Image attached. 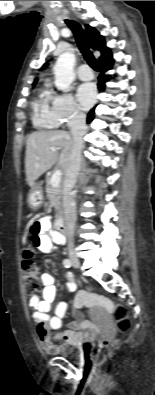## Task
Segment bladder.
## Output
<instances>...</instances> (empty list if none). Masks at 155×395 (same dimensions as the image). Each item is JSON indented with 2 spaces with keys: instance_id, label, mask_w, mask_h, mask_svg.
Returning <instances> with one entry per match:
<instances>
[{
  "instance_id": "31cf9c89",
  "label": "bladder",
  "mask_w": 155,
  "mask_h": 395,
  "mask_svg": "<svg viewBox=\"0 0 155 395\" xmlns=\"http://www.w3.org/2000/svg\"><path fill=\"white\" fill-rule=\"evenodd\" d=\"M56 353L62 357L73 361H79L82 356V350L72 345H61L56 349Z\"/></svg>"
}]
</instances>
